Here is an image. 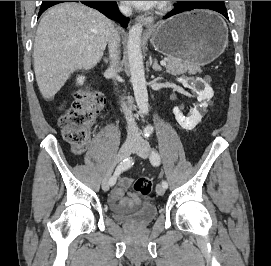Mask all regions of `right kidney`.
I'll return each mask as SVG.
<instances>
[{
    "instance_id": "obj_1",
    "label": "right kidney",
    "mask_w": 271,
    "mask_h": 266,
    "mask_svg": "<svg viewBox=\"0 0 271 266\" xmlns=\"http://www.w3.org/2000/svg\"><path fill=\"white\" fill-rule=\"evenodd\" d=\"M84 80H85V77H84V76H79V77L77 78V83H78L79 85H82L83 82H84Z\"/></svg>"
}]
</instances>
